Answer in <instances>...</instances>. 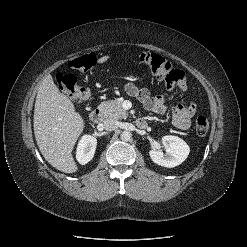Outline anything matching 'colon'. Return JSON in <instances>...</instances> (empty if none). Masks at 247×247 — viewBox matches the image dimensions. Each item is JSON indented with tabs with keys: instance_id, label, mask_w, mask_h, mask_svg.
I'll use <instances>...</instances> for the list:
<instances>
[{
	"instance_id": "1",
	"label": "colon",
	"mask_w": 247,
	"mask_h": 247,
	"mask_svg": "<svg viewBox=\"0 0 247 247\" xmlns=\"http://www.w3.org/2000/svg\"><path fill=\"white\" fill-rule=\"evenodd\" d=\"M94 54H85L69 62L73 70L85 73L95 64ZM137 61L146 66L150 72L159 80L172 86L184 79V73L172 67V65L161 55L151 52H143L138 55ZM60 90L70 98L85 102L91 97L89 89L79 86L77 79L72 73L60 72L56 77ZM209 120L205 115H198L195 119V130L199 136L207 134Z\"/></svg>"
}]
</instances>
